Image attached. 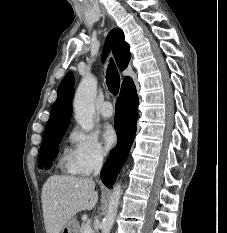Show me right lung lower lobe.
Returning a JSON list of instances; mask_svg holds the SVG:
<instances>
[{
	"mask_svg": "<svg viewBox=\"0 0 227 233\" xmlns=\"http://www.w3.org/2000/svg\"><path fill=\"white\" fill-rule=\"evenodd\" d=\"M138 96L133 81L129 87L120 92L116 102L115 129L118 142L101 171V180L105 186L111 188L125 163L134 140L137 124Z\"/></svg>",
	"mask_w": 227,
	"mask_h": 233,
	"instance_id": "1",
	"label": "right lung lower lobe"
}]
</instances>
